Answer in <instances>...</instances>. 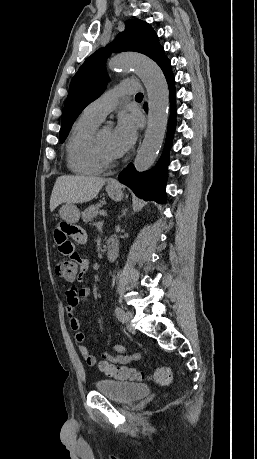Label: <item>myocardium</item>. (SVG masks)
I'll return each instance as SVG.
<instances>
[{
  "mask_svg": "<svg viewBox=\"0 0 257 459\" xmlns=\"http://www.w3.org/2000/svg\"><path fill=\"white\" fill-rule=\"evenodd\" d=\"M99 133L100 131L95 132L93 137L92 149L94 156L103 167L112 166L116 163L119 157L111 156L104 151L100 142Z\"/></svg>",
  "mask_w": 257,
  "mask_h": 459,
  "instance_id": "obj_1",
  "label": "myocardium"
}]
</instances>
